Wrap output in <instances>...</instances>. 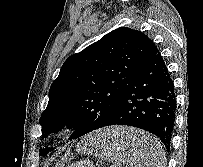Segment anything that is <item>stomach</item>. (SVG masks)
<instances>
[{"label": "stomach", "instance_id": "0dacf381", "mask_svg": "<svg viewBox=\"0 0 203 167\" xmlns=\"http://www.w3.org/2000/svg\"><path fill=\"white\" fill-rule=\"evenodd\" d=\"M107 129L103 130V131H98L97 133L102 135V133L106 132ZM106 137V136H105ZM110 139V137H106V140ZM123 150H116V153H121ZM70 167H93L92 164L90 163V161H81V162H77L76 164H73Z\"/></svg>", "mask_w": 203, "mask_h": 167}]
</instances>
